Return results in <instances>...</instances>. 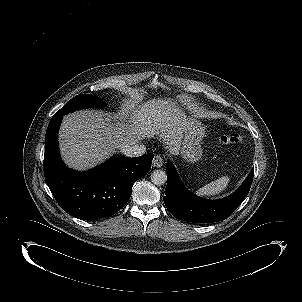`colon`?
Masks as SVG:
<instances>
[{
  "mask_svg": "<svg viewBox=\"0 0 302 302\" xmlns=\"http://www.w3.org/2000/svg\"><path fill=\"white\" fill-rule=\"evenodd\" d=\"M241 141V136L239 134H226L219 137V142L223 145H234Z\"/></svg>",
  "mask_w": 302,
  "mask_h": 302,
  "instance_id": "obj_1",
  "label": "colon"
}]
</instances>
